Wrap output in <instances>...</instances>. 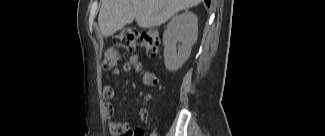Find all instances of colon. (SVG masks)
<instances>
[{
    "mask_svg": "<svg viewBox=\"0 0 325 136\" xmlns=\"http://www.w3.org/2000/svg\"><path fill=\"white\" fill-rule=\"evenodd\" d=\"M143 47L150 56H156L159 52L160 37L155 30H136L127 28L117 33L113 38V44L104 53L103 67L109 70L117 66L121 61L119 50L133 52L136 48ZM124 136H143L140 129H130Z\"/></svg>",
    "mask_w": 325,
    "mask_h": 136,
    "instance_id": "colon-1",
    "label": "colon"
}]
</instances>
